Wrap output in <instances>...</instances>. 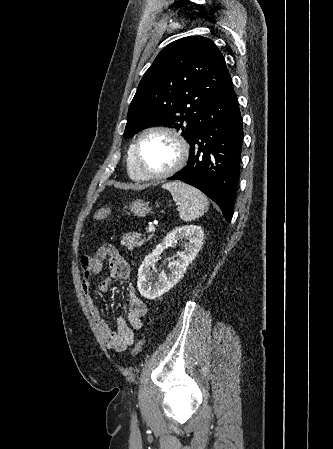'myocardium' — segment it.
Here are the masks:
<instances>
[{"instance_id":"obj_1","label":"myocardium","mask_w":333,"mask_h":449,"mask_svg":"<svg viewBox=\"0 0 333 449\" xmlns=\"http://www.w3.org/2000/svg\"><path fill=\"white\" fill-rule=\"evenodd\" d=\"M153 133H159L169 136L176 143L178 155L176 161L168 169L158 173H145L143 172L140 165V158H139L140 144L146 136ZM132 151L135 169L140 179L143 181H157L168 178L182 169V167L185 165L188 159L189 146L185 138L178 131L165 126H150L145 128L138 135L137 139L135 140L132 146Z\"/></svg>"}]
</instances>
